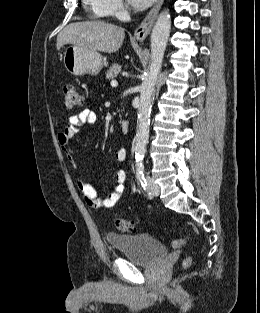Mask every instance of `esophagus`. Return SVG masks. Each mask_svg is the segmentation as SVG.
<instances>
[{"label": "esophagus", "mask_w": 260, "mask_h": 313, "mask_svg": "<svg viewBox=\"0 0 260 313\" xmlns=\"http://www.w3.org/2000/svg\"><path fill=\"white\" fill-rule=\"evenodd\" d=\"M163 1L164 0H157L143 22L136 28L134 36L137 40L144 41L147 38L155 22L157 14L163 4Z\"/></svg>", "instance_id": "34e87169"}]
</instances>
